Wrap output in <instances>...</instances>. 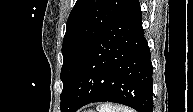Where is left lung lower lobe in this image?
<instances>
[{"label": "left lung lower lobe", "instance_id": "0a47b994", "mask_svg": "<svg viewBox=\"0 0 193 112\" xmlns=\"http://www.w3.org/2000/svg\"><path fill=\"white\" fill-rule=\"evenodd\" d=\"M150 59L140 4L132 0L83 58L61 111L76 112L91 102L109 101L138 112H153Z\"/></svg>", "mask_w": 193, "mask_h": 112}]
</instances>
